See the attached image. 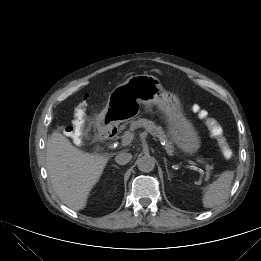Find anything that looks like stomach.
Returning <instances> with one entry per match:
<instances>
[{"instance_id":"obj_1","label":"stomach","mask_w":261,"mask_h":261,"mask_svg":"<svg viewBox=\"0 0 261 261\" xmlns=\"http://www.w3.org/2000/svg\"><path fill=\"white\" fill-rule=\"evenodd\" d=\"M141 105H156L163 113L172 142L185 154L194 155L201 148V139L193 124L185 117L178 97L165 91L153 75L130 76L116 86L108 97L106 107L98 116L103 127L116 126L135 119Z\"/></svg>"}]
</instances>
